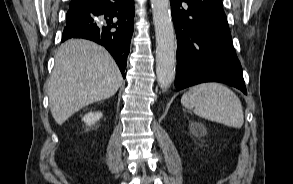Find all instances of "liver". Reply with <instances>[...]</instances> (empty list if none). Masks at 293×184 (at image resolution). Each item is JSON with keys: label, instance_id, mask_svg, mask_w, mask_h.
Here are the masks:
<instances>
[{"label": "liver", "instance_id": "1", "mask_svg": "<svg viewBox=\"0 0 293 184\" xmlns=\"http://www.w3.org/2000/svg\"><path fill=\"white\" fill-rule=\"evenodd\" d=\"M122 75L107 50L88 40L70 39L55 55L48 84L50 110L62 125L82 108L113 96Z\"/></svg>", "mask_w": 293, "mask_h": 184}]
</instances>
